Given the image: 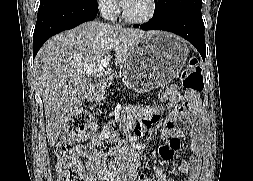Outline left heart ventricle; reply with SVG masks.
<instances>
[{"label":"left heart ventricle","mask_w":253,"mask_h":181,"mask_svg":"<svg viewBox=\"0 0 253 181\" xmlns=\"http://www.w3.org/2000/svg\"><path fill=\"white\" fill-rule=\"evenodd\" d=\"M150 0H130L125 7L128 14L135 17H142L146 15L150 8Z\"/></svg>","instance_id":"obj_1"}]
</instances>
